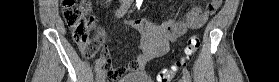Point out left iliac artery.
<instances>
[{
    "label": "left iliac artery",
    "instance_id": "1",
    "mask_svg": "<svg viewBox=\"0 0 279 82\" xmlns=\"http://www.w3.org/2000/svg\"><path fill=\"white\" fill-rule=\"evenodd\" d=\"M143 0H136V6L138 10H140ZM183 81L184 82H191V77L189 71L184 68L183 69Z\"/></svg>",
    "mask_w": 279,
    "mask_h": 82
}]
</instances>
